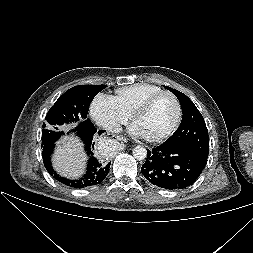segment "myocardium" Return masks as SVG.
Masks as SVG:
<instances>
[{
  "label": "myocardium",
  "mask_w": 253,
  "mask_h": 253,
  "mask_svg": "<svg viewBox=\"0 0 253 253\" xmlns=\"http://www.w3.org/2000/svg\"><path fill=\"white\" fill-rule=\"evenodd\" d=\"M164 95H168L173 99L175 107H176V116H175V119H174L172 125L169 127V129L166 132H164L163 134H161L157 137H146V139L149 140L150 142H155V143L162 142V141L166 140L167 138H169L178 128L181 118H182V107H181L178 97L171 91L162 90V91L150 96L146 100H144L131 115V120L135 124L136 120L140 116L145 114L151 108V106L160 97H162Z\"/></svg>",
  "instance_id": "myocardium-1"
}]
</instances>
